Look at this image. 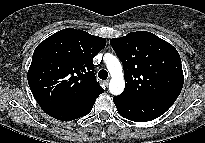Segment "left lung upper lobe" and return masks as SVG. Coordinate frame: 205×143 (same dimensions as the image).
<instances>
[{
  "label": "left lung upper lobe",
  "instance_id": "5c2ea615",
  "mask_svg": "<svg viewBox=\"0 0 205 143\" xmlns=\"http://www.w3.org/2000/svg\"><path fill=\"white\" fill-rule=\"evenodd\" d=\"M110 44L123 63L125 89L121 97L146 101L179 96L184 76L179 53L171 44L146 31L113 38Z\"/></svg>",
  "mask_w": 205,
  "mask_h": 143
}]
</instances>
